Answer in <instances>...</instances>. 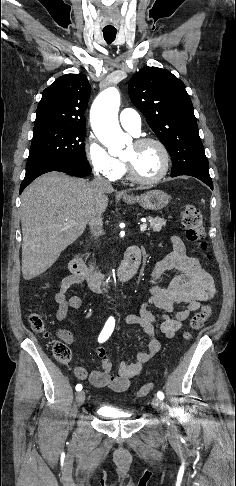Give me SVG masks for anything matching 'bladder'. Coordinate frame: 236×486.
<instances>
[{"label":"bladder","instance_id":"obj_1","mask_svg":"<svg viewBox=\"0 0 236 486\" xmlns=\"http://www.w3.org/2000/svg\"><path fill=\"white\" fill-rule=\"evenodd\" d=\"M97 412L101 416L114 419H130L132 417V414L130 412L123 411L107 404L99 406Z\"/></svg>","mask_w":236,"mask_h":486}]
</instances>
